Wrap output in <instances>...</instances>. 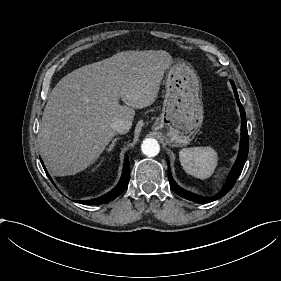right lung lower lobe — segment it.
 I'll return each instance as SVG.
<instances>
[{
    "instance_id": "obj_1",
    "label": "right lung lower lobe",
    "mask_w": 281,
    "mask_h": 281,
    "mask_svg": "<svg viewBox=\"0 0 281 281\" xmlns=\"http://www.w3.org/2000/svg\"><path fill=\"white\" fill-rule=\"evenodd\" d=\"M42 165H43V162H42ZM43 168H44L46 174L48 175V177L50 178L44 165H43ZM129 178H130V165H129V161H128V156H126L122 177H121L119 183L117 184V186L114 189H112V191L108 192L107 194H105L101 197L93 199V200L75 201V202H78L80 204H85V205H100V204L108 203V202L114 200L116 197H118L126 189L128 182H129ZM50 180L52 181L51 178H50Z\"/></svg>"
}]
</instances>
